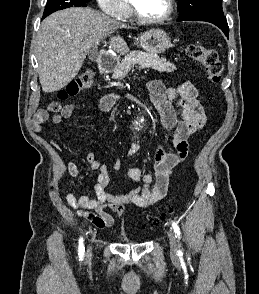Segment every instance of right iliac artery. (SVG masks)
Segmentation results:
<instances>
[{
    "mask_svg": "<svg viewBox=\"0 0 259 294\" xmlns=\"http://www.w3.org/2000/svg\"><path fill=\"white\" fill-rule=\"evenodd\" d=\"M84 252H85L84 239L83 237H80L79 246H78V256L80 261L84 259Z\"/></svg>",
    "mask_w": 259,
    "mask_h": 294,
    "instance_id": "82829eb1",
    "label": "right iliac artery"
}]
</instances>
